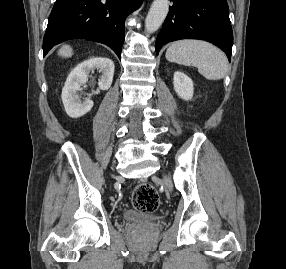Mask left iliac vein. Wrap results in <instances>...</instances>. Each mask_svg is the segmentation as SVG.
Listing matches in <instances>:
<instances>
[{"instance_id":"obj_1","label":"left iliac vein","mask_w":286,"mask_h":269,"mask_svg":"<svg viewBox=\"0 0 286 269\" xmlns=\"http://www.w3.org/2000/svg\"><path fill=\"white\" fill-rule=\"evenodd\" d=\"M165 184H166L168 190L171 191L172 190V182L169 178L165 179Z\"/></svg>"}]
</instances>
